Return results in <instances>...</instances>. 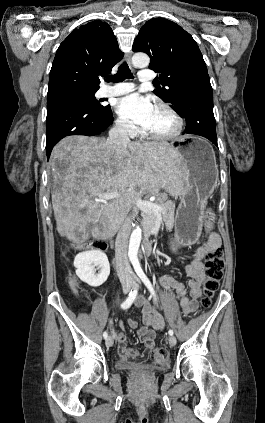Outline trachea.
<instances>
[{
    "instance_id": "obj_1",
    "label": "trachea",
    "mask_w": 265,
    "mask_h": 423,
    "mask_svg": "<svg viewBox=\"0 0 265 423\" xmlns=\"http://www.w3.org/2000/svg\"><path fill=\"white\" fill-rule=\"evenodd\" d=\"M127 78L131 79V78H133V75H132L131 70L129 69L127 63L123 62L119 66L117 74L114 75V76L106 77V81L117 83V82H122L123 80H125ZM154 84H157V82H154Z\"/></svg>"
}]
</instances>
